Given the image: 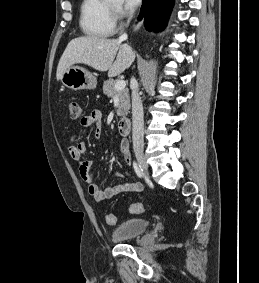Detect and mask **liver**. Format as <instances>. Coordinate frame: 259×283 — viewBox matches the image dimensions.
I'll return each mask as SVG.
<instances>
[{
  "label": "liver",
  "instance_id": "6515ba94",
  "mask_svg": "<svg viewBox=\"0 0 259 283\" xmlns=\"http://www.w3.org/2000/svg\"><path fill=\"white\" fill-rule=\"evenodd\" d=\"M134 58L132 48L127 44H121L119 39L82 36L68 43L59 60L56 77L60 80L64 71L78 63L101 72L108 71V76L114 77L128 69Z\"/></svg>",
  "mask_w": 259,
  "mask_h": 283
}]
</instances>
